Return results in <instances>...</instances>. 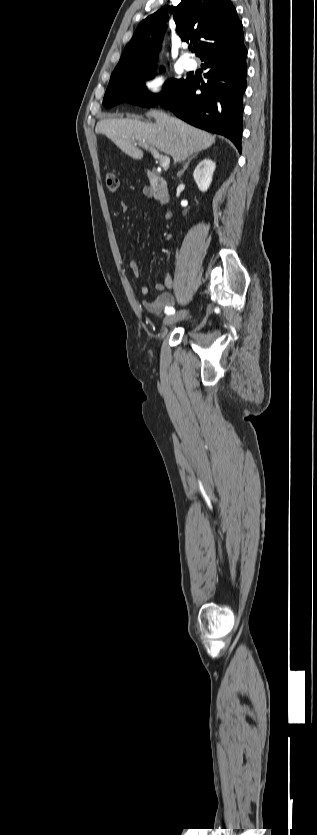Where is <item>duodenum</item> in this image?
<instances>
[{
	"label": "duodenum",
	"instance_id": "obj_1",
	"mask_svg": "<svg viewBox=\"0 0 317 835\" xmlns=\"http://www.w3.org/2000/svg\"><path fill=\"white\" fill-rule=\"evenodd\" d=\"M146 175L155 198L161 203H166L169 200V193L165 180L149 170L146 171Z\"/></svg>",
	"mask_w": 317,
	"mask_h": 835
}]
</instances>
